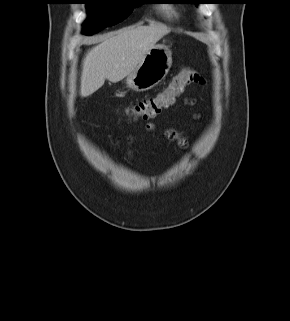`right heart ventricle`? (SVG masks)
Here are the masks:
<instances>
[{
	"label": "right heart ventricle",
	"mask_w": 290,
	"mask_h": 321,
	"mask_svg": "<svg viewBox=\"0 0 290 321\" xmlns=\"http://www.w3.org/2000/svg\"><path fill=\"white\" fill-rule=\"evenodd\" d=\"M163 13L167 18L175 17V12L170 7H164L163 8Z\"/></svg>",
	"instance_id": "e07e8e85"
}]
</instances>
